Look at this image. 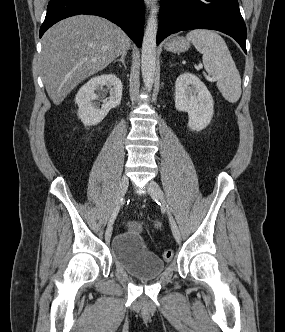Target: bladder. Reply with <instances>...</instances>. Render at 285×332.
<instances>
[{
    "label": "bladder",
    "mask_w": 285,
    "mask_h": 332,
    "mask_svg": "<svg viewBox=\"0 0 285 332\" xmlns=\"http://www.w3.org/2000/svg\"><path fill=\"white\" fill-rule=\"evenodd\" d=\"M110 246L115 263L137 278H153L165 269L164 262L147 250L137 225L116 234Z\"/></svg>",
    "instance_id": "obj_1"
}]
</instances>
